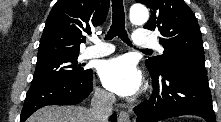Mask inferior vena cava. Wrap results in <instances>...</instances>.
<instances>
[{"instance_id": "602c4592", "label": "inferior vena cava", "mask_w": 221, "mask_h": 122, "mask_svg": "<svg viewBox=\"0 0 221 122\" xmlns=\"http://www.w3.org/2000/svg\"><path fill=\"white\" fill-rule=\"evenodd\" d=\"M115 97L100 89H96L91 101L90 113L94 122H107L112 114Z\"/></svg>"}]
</instances>
